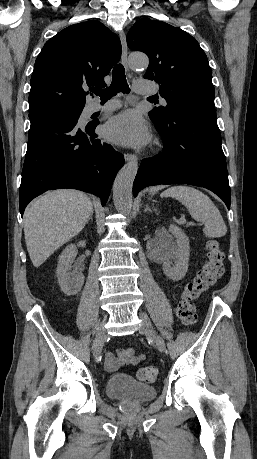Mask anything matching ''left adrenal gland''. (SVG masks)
<instances>
[{
    "instance_id": "1",
    "label": "left adrenal gland",
    "mask_w": 257,
    "mask_h": 459,
    "mask_svg": "<svg viewBox=\"0 0 257 459\" xmlns=\"http://www.w3.org/2000/svg\"><path fill=\"white\" fill-rule=\"evenodd\" d=\"M153 210L157 212V209H156V208H153ZM147 211L152 212V210H151V208H150L149 205H146V207H145V209H144V212H147Z\"/></svg>"
}]
</instances>
